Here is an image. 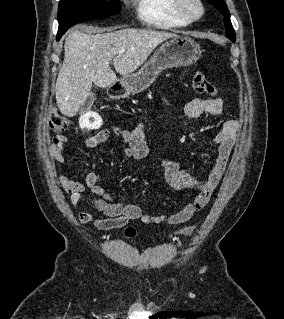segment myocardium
Instances as JSON below:
<instances>
[{"label": "myocardium", "instance_id": "obj_1", "mask_svg": "<svg viewBox=\"0 0 284 319\" xmlns=\"http://www.w3.org/2000/svg\"><path fill=\"white\" fill-rule=\"evenodd\" d=\"M176 9L178 13L190 22H195L200 20L205 14V5L202 0H175ZM194 3L198 6L199 12L197 14L191 13L189 10V5Z\"/></svg>", "mask_w": 284, "mask_h": 319}]
</instances>
